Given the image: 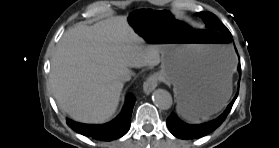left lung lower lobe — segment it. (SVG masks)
I'll list each match as a JSON object with an SVG mask.
<instances>
[{
  "label": "left lung lower lobe",
  "mask_w": 279,
  "mask_h": 148,
  "mask_svg": "<svg viewBox=\"0 0 279 148\" xmlns=\"http://www.w3.org/2000/svg\"><path fill=\"white\" fill-rule=\"evenodd\" d=\"M228 35H231V34L229 33ZM228 40H230V39L228 38ZM238 71L241 74L240 63L238 65ZM237 96H238V92L235 95L232 102L228 105V107L224 111V113L222 115H220L217 119H215L211 122L200 124V125H189V124L182 122L174 113H172L167 118V126H168L169 130L171 131V133L180 139H195V138L203 137V136L209 134L210 132L214 131L226 119Z\"/></svg>",
  "instance_id": "left-lung-lower-lobe-1"
}]
</instances>
